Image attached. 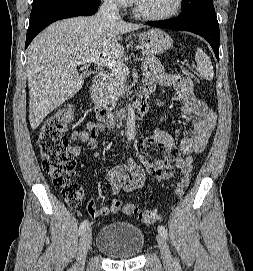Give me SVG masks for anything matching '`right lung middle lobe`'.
Listing matches in <instances>:
<instances>
[{
  "instance_id": "dd1d6c3e",
  "label": "right lung middle lobe",
  "mask_w": 253,
  "mask_h": 271,
  "mask_svg": "<svg viewBox=\"0 0 253 271\" xmlns=\"http://www.w3.org/2000/svg\"><path fill=\"white\" fill-rule=\"evenodd\" d=\"M77 0H34L32 4L31 15L52 5H57L66 2H72ZM91 1H99V0H91Z\"/></svg>"
}]
</instances>
